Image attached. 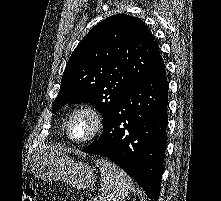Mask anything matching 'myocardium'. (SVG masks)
I'll return each mask as SVG.
<instances>
[{
	"label": "myocardium",
	"instance_id": "obj_1",
	"mask_svg": "<svg viewBox=\"0 0 221 201\" xmlns=\"http://www.w3.org/2000/svg\"><path fill=\"white\" fill-rule=\"evenodd\" d=\"M83 115L87 116L92 122V128L89 134L83 138H76L71 133V124L75 117ZM103 118L100 112L90 104H84L76 107L68 116L66 121V135L76 143H86L93 140L102 130Z\"/></svg>",
	"mask_w": 221,
	"mask_h": 201
}]
</instances>
